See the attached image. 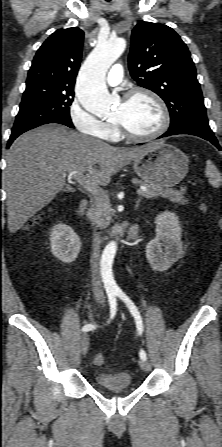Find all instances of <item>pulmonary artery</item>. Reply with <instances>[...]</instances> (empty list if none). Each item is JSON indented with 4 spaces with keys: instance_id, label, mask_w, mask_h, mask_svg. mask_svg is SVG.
<instances>
[{
    "instance_id": "pulmonary-artery-1",
    "label": "pulmonary artery",
    "mask_w": 222,
    "mask_h": 447,
    "mask_svg": "<svg viewBox=\"0 0 222 447\" xmlns=\"http://www.w3.org/2000/svg\"><path fill=\"white\" fill-rule=\"evenodd\" d=\"M123 76V69L122 66L119 64L114 65L110 73L107 76V84L110 86H117L121 83Z\"/></svg>"
}]
</instances>
